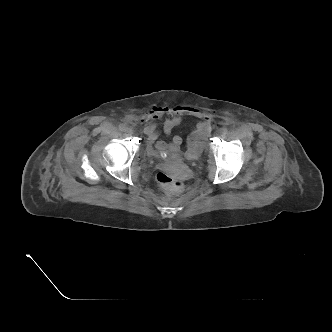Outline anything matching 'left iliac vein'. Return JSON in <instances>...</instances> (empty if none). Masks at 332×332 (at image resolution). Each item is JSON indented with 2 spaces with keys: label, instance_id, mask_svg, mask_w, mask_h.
<instances>
[{
  "label": "left iliac vein",
  "instance_id": "left-iliac-vein-1",
  "mask_svg": "<svg viewBox=\"0 0 332 332\" xmlns=\"http://www.w3.org/2000/svg\"><path fill=\"white\" fill-rule=\"evenodd\" d=\"M223 133H222V130H218L217 132H216V135L217 136H221Z\"/></svg>",
  "mask_w": 332,
  "mask_h": 332
}]
</instances>
